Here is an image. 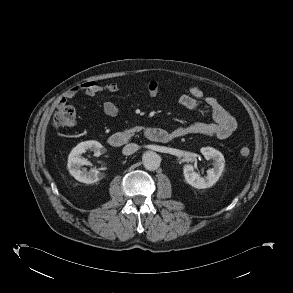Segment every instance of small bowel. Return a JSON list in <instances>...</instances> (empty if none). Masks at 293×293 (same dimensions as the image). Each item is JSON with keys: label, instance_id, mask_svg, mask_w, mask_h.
<instances>
[{"label": "small bowel", "instance_id": "small-bowel-1", "mask_svg": "<svg viewBox=\"0 0 293 293\" xmlns=\"http://www.w3.org/2000/svg\"><path fill=\"white\" fill-rule=\"evenodd\" d=\"M119 91V85L116 83L99 84L95 81H89L74 86L68 90L60 99L59 103L65 104L69 99L74 98L78 94L87 96H95L99 93H116ZM148 96L155 98L160 93V84L152 81L148 85ZM201 102L210 110L213 122L211 123H193L174 129L171 134L173 138L183 137L190 134H200L206 136H215L220 139L228 138L237 128L235 118L219 103L213 96L204 95L198 86H191L187 94L179 97L178 103L181 107L189 110H197ZM103 110L108 116H116L118 107L112 101H106L103 104Z\"/></svg>", "mask_w": 293, "mask_h": 293}]
</instances>
